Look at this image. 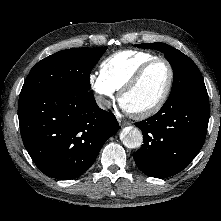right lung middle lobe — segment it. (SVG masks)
Listing matches in <instances>:
<instances>
[{"label": "right lung middle lobe", "mask_w": 221, "mask_h": 221, "mask_svg": "<svg viewBox=\"0 0 221 221\" xmlns=\"http://www.w3.org/2000/svg\"><path fill=\"white\" fill-rule=\"evenodd\" d=\"M107 47L59 51L38 62L28 74L20 97L90 92L89 77Z\"/></svg>", "instance_id": "right-lung-middle-lobe-1"}]
</instances>
